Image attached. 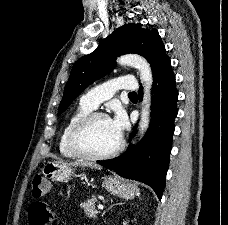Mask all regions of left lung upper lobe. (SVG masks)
Returning <instances> with one entry per match:
<instances>
[{"label":"left lung upper lobe","instance_id":"1","mask_svg":"<svg viewBox=\"0 0 228 225\" xmlns=\"http://www.w3.org/2000/svg\"><path fill=\"white\" fill-rule=\"evenodd\" d=\"M165 47L156 29H146L142 24H125L103 39L97 49L75 62L58 115L92 82L103 77L115 66V59L123 54L136 53L147 59L152 71L158 68L167 56Z\"/></svg>","mask_w":228,"mask_h":225}]
</instances>
